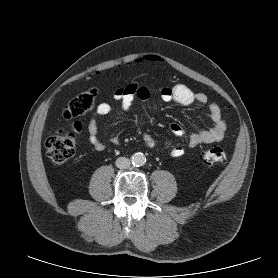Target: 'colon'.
Masks as SVG:
<instances>
[{
	"mask_svg": "<svg viewBox=\"0 0 278 278\" xmlns=\"http://www.w3.org/2000/svg\"><path fill=\"white\" fill-rule=\"evenodd\" d=\"M95 97L96 91L93 89L79 94L65 108L64 118L76 120L85 116L93 109ZM80 129V123L75 121L71 131L61 130L47 138L45 141L46 153L53 163L62 165L74 155L76 134ZM203 160L209 165L223 163L226 160V154L221 147H213L203 153Z\"/></svg>",
	"mask_w": 278,
	"mask_h": 278,
	"instance_id": "5ec220e1",
	"label": "colon"
}]
</instances>
